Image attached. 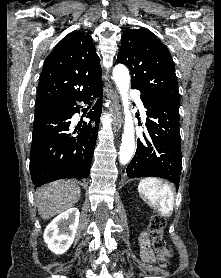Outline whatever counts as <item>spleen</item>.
<instances>
[{
	"label": "spleen",
	"instance_id": "3e777b00",
	"mask_svg": "<svg viewBox=\"0 0 221 278\" xmlns=\"http://www.w3.org/2000/svg\"><path fill=\"white\" fill-rule=\"evenodd\" d=\"M138 192L148 204L163 217H170L173 212L174 195L171 186L155 177L142 179Z\"/></svg>",
	"mask_w": 221,
	"mask_h": 278
}]
</instances>
